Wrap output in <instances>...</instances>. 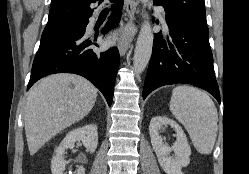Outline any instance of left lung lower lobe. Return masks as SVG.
<instances>
[{"mask_svg": "<svg viewBox=\"0 0 249 174\" xmlns=\"http://www.w3.org/2000/svg\"><path fill=\"white\" fill-rule=\"evenodd\" d=\"M165 12L170 39H163L162 32L154 35L143 98L158 87L185 83L208 91L220 103L208 27L180 20Z\"/></svg>", "mask_w": 249, "mask_h": 174, "instance_id": "obj_1", "label": "left lung lower lobe"}]
</instances>
